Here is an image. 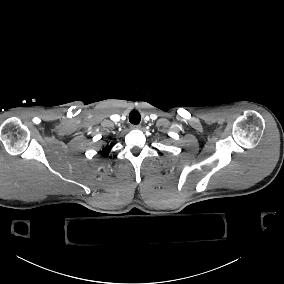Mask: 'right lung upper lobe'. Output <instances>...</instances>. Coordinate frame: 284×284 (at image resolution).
<instances>
[{
    "label": "right lung upper lobe",
    "mask_w": 284,
    "mask_h": 284,
    "mask_svg": "<svg viewBox=\"0 0 284 284\" xmlns=\"http://www.w3.org/2000/svg\"><path fill=\"white\" fill-rule=\"evenodd\" d=\"M113 147V144L111 143L110 145L107 144L106 146H104L102 148V151H101V155L106 157L108 155V153L110 152L111 148Z\"/></svg>",
    "instance_id": "cb5924a9"
}]
</instances>
